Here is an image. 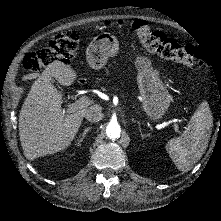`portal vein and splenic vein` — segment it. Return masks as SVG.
<instances>
[{"label": "portal vein and splenic vein", "mask_w": 221, "mask_h": 221, "mask_svg": "<svg viewBox=\"0 0 221 221\" xmlns=\"http://www.w3.org/2000/svg\"><path fill=\"white\" fill-rule=\"evenodd\" d=\"M93 102L90 98L86 97V96H83L81 97L78 101H76L75 103L71 104L69 107H68V111L70 113L72 112H75L77 111L78 109H83L89 105H91ZM174 128L175 130L178 129V124L176 122H174Z\"/></svg>", "instance_id": "18ae733b"}]
</instances>
